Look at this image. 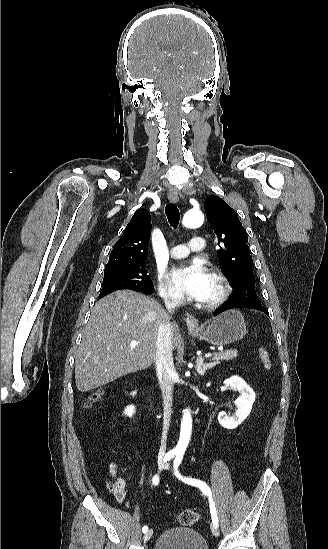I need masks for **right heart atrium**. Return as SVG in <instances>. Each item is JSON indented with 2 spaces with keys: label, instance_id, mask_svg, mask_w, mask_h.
I'll return each mask as SVG.
<instances>
[{
  "label": "right heart atrium",
  "instance_id": "obj_1",
  "mask_svg": "<svg viewBox=\"0 0 328 549\" xmlns=\"http://www.w3.org/2000/svg\"><path fill=\"white\" fill-rule=\"evenodd\" d=\"M158 290L161 298L165 301V303H182L181 299L168 285L165 274L161 273L158 276Z\"/></svg>",
  "mask_w": 328,
  "mask_h": 549
}]
</instances>
